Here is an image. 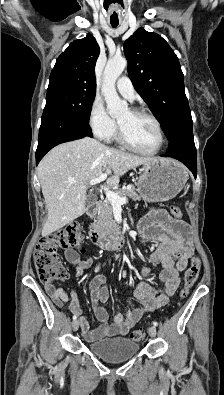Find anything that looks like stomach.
Listing matches in <instances>:
<instances>
[{"mask_svg": "<svg viewBox=\"0 0 224 395\" xmlns=\"http://www.w3.org/2000/svg\"><path fill=\"white\" fill-rule=\"evenodd\" d=\"M140 172L137 191L140 197L148 202L173 199L187 180L183 166L172 159L154 158L144 163Z\"/></svg>", "mask_w": 224, "mask_h": 395, "instance_id": "obj_1", "label": "stomach"}]
</instances>
